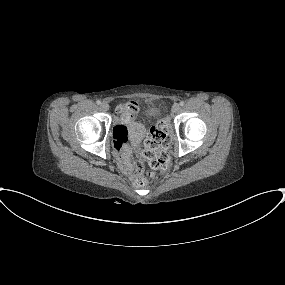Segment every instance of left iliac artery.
Wrapping results in <instances>:
<instances>
[{
	"mask_svg": "<svg viewBox=\"0 0 285 285\" xmlns=\"http://www.w3.org/2000/svg\"><path fill=\"white\" fill-rule=\"evenodd\" d=\"M179 104H180V106H184L185 103L183 101H181Z\"/></svg>",
	"mask_w": 285,
	"mask_h": 285,
	"instance_id": "44dca946",
	"label": "left iliac artery"
}]
</instances>
